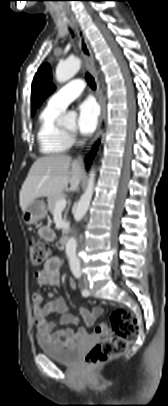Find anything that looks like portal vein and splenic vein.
Returning a JSON list of instances; mask_svg holds the SVG:
<instances>
[{
	"label": "portal vein and splenic vein",
	"instance_id": "18ae733b",
	"mask_svg": "<svg viewBox=\"0 0 168 406\" xmlns=\"http://www.w3.org/2000/svg\"><path fill=\"white\" fill-rule=\"evenodd\" d=\"M67 201L65 198H62L60 200H58L55 203V210L56 211H62L65 207H66Z\"/></svg>",
	"mask_w": 168,
	"mask_h": 406
}]
</instances>
